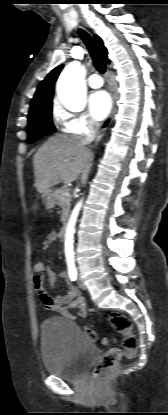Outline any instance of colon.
Listing matches in <instances>:
<instances>
[{"mask_svg":"<svg viewBox=\"0 0 168 415\" xmlns=\"http://www.w3.org/2000/svg\"><path fill=\"white\" fill-rule=\"evenodd\" d=\"M44 266L45 261L43 259H36L30 267V272L33 274V283H42L44 281ZM109 321L112 327L124 336L122 348L112 347L102 355L99 362L92 370V377L94 379L99 378L106 370L115 366L123 356H131L137 350L138 343L136 337L132 333L130 319L121 313L113 312L109 314ZM84 335L90 341L97 340V334L91 328H84ZM102 342L106 344L107 340H103Z\"/></svg>","mask_w":168,"mask_h":415,"instance_id":"colon-1","label":"colon"}]
</instances>
